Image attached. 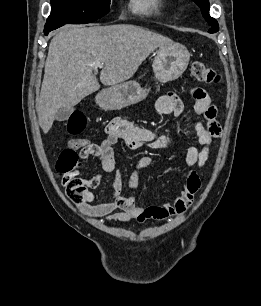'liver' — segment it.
Here are the masks:
<instances>
[{"label": "liver", "instance_id": "obj_1", "mask_svg": "<svg viewBox=\"0 0 261 306\" xmlns=\"http://www.w3.org/2000/svg\"><path fill=\"white\" fill-rule=\"evenodd\" d=\"M172 42L161 34L127 24L61 28L50 42L36 102L42 131L48 133L59 109L72 108L100 88L93 74L97 61L104 63L101 83L117 85L130 79L156 48Z\"/></svg>", "mask_w": 261, "mask_h": 306}]
</instances>
